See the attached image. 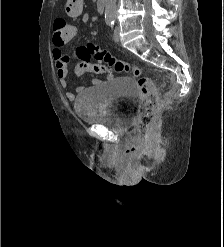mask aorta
<instances>
[{
	"label": "aorta",
	"instance_id": "1",
	"mask_svg": "<svg viewBox=\"0 0 224 247\" xmlns=\"http://www.w3.org/2000/svg\"><path fill=\"white\" fill-rule=\"evenodd\" d=\"M116 0H105V18L106 20H115Z\"/></svg>",
	"mask_w": 224,
	"mask_h": 247
}]
</instances>
